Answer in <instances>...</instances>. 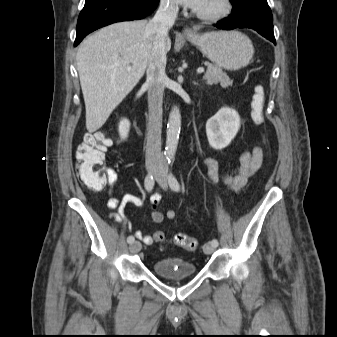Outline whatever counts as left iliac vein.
<instances>
[{"mask_svg": "<svg viewBox=\"0 0 337 337\" xmlns=\"http://www.w3.org/2000/svg\"><path fill=\"white\" fill-rule=\"evenodd\" d=\"M155 179L157 183L164 189H167V175L165 169L160 167L155 172ZM216 249V246H213L210 242L205 243L203 250L205 254H212Z\"/></svg>", "mask_w": 337, "mask_h": 337, "instance_id": "1", "label": "left iliac vein"}]
</instances>
